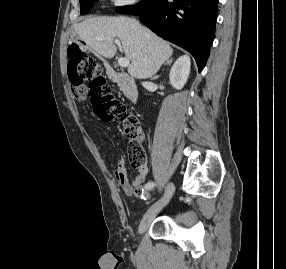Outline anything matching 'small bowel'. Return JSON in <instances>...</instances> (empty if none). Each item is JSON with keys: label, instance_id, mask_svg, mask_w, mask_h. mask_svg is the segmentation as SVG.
I'll list each match as a JSON object with an SVG mask.
<instances>
[{"label": "small bowel", "instance_id": "obj_1", "mask_svg": "<svg viewBox=\"0 0 286 269\" xmlns=\"http://www.w3.org/2000/svg\"><path fill=\"white\" fill-rule=\"evenodd\" d=\"M84 97L85 93L83 90H81L78 98L83 99ZM147 174L148 166L145 164L138 168V175L133 179V181H130L128 178L126 164L123 159L118 160L115 169L116 182L122 191L127 195H132L134 192L136 193V189L142 186Z\"/></svg>", "mask_w": 286, "mask_h": 269}]
</instances>
